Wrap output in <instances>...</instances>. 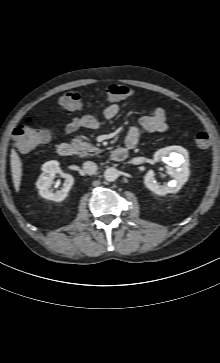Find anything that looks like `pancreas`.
<instances>
[{
    "mask_svg": "<svg viewBox=\"0 0 220 363\" xmlns=\"http://www.w3.org/2000/svg\"><path fill=\"white\" fill-rule=\"evenodd\" d=\"M84 138H85L84 136H80L73 140V144L77 148L78 154L81 157L92 156V155H94V154H92L93 152L95 154L100 153L99 148L93 146L90 143L83 142L82 139H84Z\"/></svg>",
    "mask_w": 220,
    "mask_h": 363,
    "instance_id": "pancreas-1",
    "label": "pancreas"
}]
</instances>
